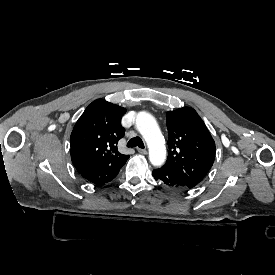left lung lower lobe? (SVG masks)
Instances as JSON below:
<instances>
[{"label":"left lung lower lobe","instance_id":"left-lung-lower-lobe-1","mask_svg":"<svg viewBox=\"0 0 275 275\" xmlns=\"http://www.w3.org/2000/svg\"><path fill=\"white\" fill-rule=\"evenodd\" d=\"M153 177L158 181L162 186L173 190V191H187L188 188L182 180L172 173L169 169L161 167L153 170Z\"/></svg>","mask_w":275,"mask_h":275}]
</instances>
